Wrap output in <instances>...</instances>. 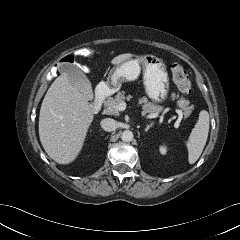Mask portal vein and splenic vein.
<instances>
[{"instance_id": "1", "label": "portal vein and splenic vein", "mask_w": 240, "mask_h": 240, "mask_svg": "<svg viewBox=\"0 0 240 240\" xmlns=\"http://www.w3.org/2000/svg\"><path fill=\"white\" fill-rule=\"evenodd\" d=\"M117 109H118L119 111H124V110L126 109V103H125L124 101L120 102V103L117 105ZM175 111H176V113L178 114L179 119L181 120V119L183 118V113H182V111L179 110V109H176ZM157 116H158V114H151V115H147L146 118H150V119H151V118H155V117H157Z\"/></svg>"}]
</instances>
